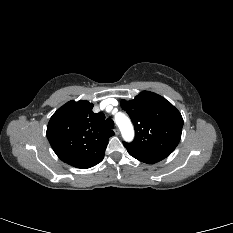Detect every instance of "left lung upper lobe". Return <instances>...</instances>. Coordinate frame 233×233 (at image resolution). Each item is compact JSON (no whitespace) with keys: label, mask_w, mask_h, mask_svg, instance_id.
Returning <instances> with one entry per match:
<instances>
[{"label":"left lung upper lobe","mask_w":233,"mask_h":233,"mask_svg":"<svg viewBox=\"0 0 233 233\" xmlns=\"http://www.w3.org/2000/svg\"><path fill=\"white\" fill-rule=\"evenodd\" d=\"M135 127V139L124 146L143 152L169 155L178 145L183 119L180 112L165 98L143 91L133 100L121 101Z\"/></svg>","instance_id":"left-lung-upper-lobe-1"}]
</instances>
